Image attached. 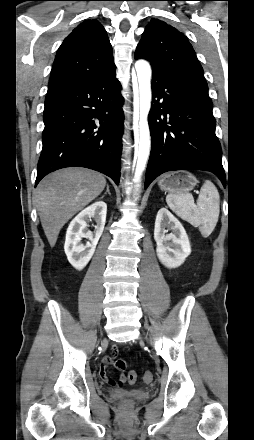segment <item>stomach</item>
Wrapping results in <instances>:
<instances>
[{"instance_id":"obj_1","label":"stomach","mask_w":254,"mask_h":440,"mask_svg":"<svg viewBox=\"0 0 254 440\" xmlns=\"http://www.w3.org/2000/svg\"><path fill=\"white\" fill-rule=\"evenodd\" d=\"M196 183L197 179L188 171H176L162 176L158 185L171 194H180L192 190Z\"/></svg>"}]
</instances>
